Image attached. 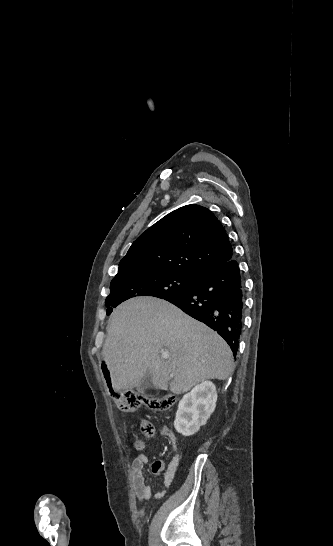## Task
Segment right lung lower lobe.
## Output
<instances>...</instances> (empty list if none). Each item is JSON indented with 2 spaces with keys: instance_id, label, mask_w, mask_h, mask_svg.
Returning a JSON list of instances; mask_svg holds the SVG:
<instances>
[{
  "instance_id": "1",
  "label": "right lung lower lobe",
  "mask_w": 333,
  "mask_h": 546,
  "mask_svg": "<svg viewBox=\"0 0 333 546\" xmlns=\"http://www.w3.org/2000/svg\"><path fill=\"white\" fill-rule=\"evenodd\" d=\"M164 299L215 330L236 355L243 327L244 285L234 258L202 274L187 292Z\"/></svg>"
}]
</instances>
